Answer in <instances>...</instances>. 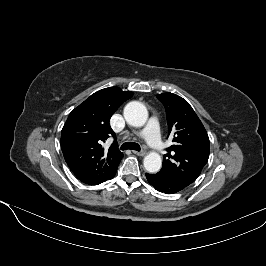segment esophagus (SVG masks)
Returning <instances> with one entry per match:
<instances>
[{"label": "esophagus", "instance_id": "esophagus-1", "mask_svg": "<svg viewBox=\"0 0 266 266\" xmlns=\"http://www.w3.org/2000/svg\"><path fill=\"white\" fill-rule=\"evenodd\" d=\"M133 153L135 155H138V156H144L145 155V150H141V151H133Z\"/></svg>", "mask_w": 266, "mask_h": 266}]
</instances>
